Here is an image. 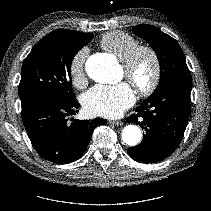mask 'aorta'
<instances>
[{"mask_svg": "<svg viewBox=\"0 0 211 211\" xmlns=\"http://www.w3.org/2000/svg\"><path fill=\"white\" fill-rule=\"evenodd\" d=\"M86 72L99 83H113L118 80L115 65L104 56H92L86 62ZM142 133L136 125H128L122 131V140L129 146H136L141 141Z\"/></svg>", "mask_w": 211, "mask_h": 211, "instance_id": "1", "label": "aorta"}]
</instances>
